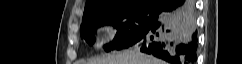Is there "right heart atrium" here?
<instances>
[{
  "mask_svg": "<svg viewBox=\"0 0 242 64\" xmlns=\"http://www.w3.org/2000/svg\"><path fill=\"white\" fill-rule=\"evenodd\" d=\"M105 28L109 38L114 39L117 37L119 28L114 21H111V20L107 21L105 23Z\"/></svg>",
  "mask_w": 242,
  "mask_h": 64,
  "instance_id": "d8ad5b80",
  "label": "right heart atrium"
}]
</instances>
